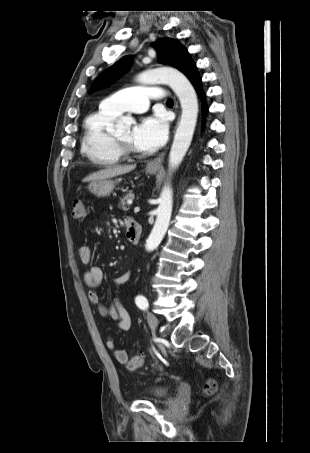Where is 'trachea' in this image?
<instances>
[{
    "instance_id": "1",
    "label": "trachea",
    "mask_w": 310,
    "mask_h": 453,
    "mask_svg": "<svg viewBox=\"0 0 310 453\" xmlns=\"http://www.w3.org/2000/svg\"><path fill=\"white\" fill-rule=\"evenodd\" d=\"M166 105H173V100L172 99H168L166 101Z\"/></svg>"
}]
</instances>
